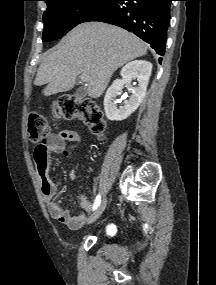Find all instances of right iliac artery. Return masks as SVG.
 Instances as JSON below:
<instances>
[{
  "label": "right iliac artery",
  "mask_w": 216,
  "mask_h": 285,
  "mask_svg": "<svg viewBox=\"0 0 216 285\" xmlns=\"http://www.w3.org/2000/svg\"><path fill=\"white\" fill-rule=\"evenodd\" d=\"M100 202H101V196L98 194L94 201L93 210H95L99 206Z\"/></svg>",
  "instance_id": "obj_1"
}]
</instances>
